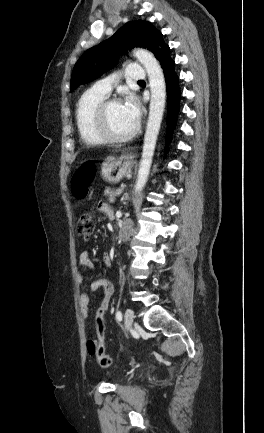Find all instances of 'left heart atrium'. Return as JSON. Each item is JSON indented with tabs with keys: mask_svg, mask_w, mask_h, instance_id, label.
<instances>
[{
	"mask_svg": "<svg viewBox=\"0 0 264 433\" xmlns=\"http://www.w3.org/2000/svg\"><path fill=\"white\" fill-rule=\"evenodd\" d=\"M123 106L129 116L137 122L140 117V105L136 97L133 95L127 96L123 103Z\"/></svg>",
	"mask_w": 264,
	"mask_h": 433,
	"instance_id": "39dd6f15",
	"label": "left heart atrium"
}]
</instances>
